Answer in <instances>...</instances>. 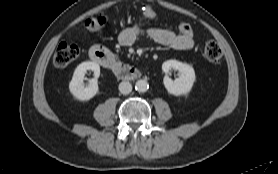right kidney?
Masks as SVG:
<instances>
[{
  "mask_svg": "<svg viewBox=\"0 0 278 174\" xmlns=\"http://www.w3.org/2000/svg\"><path fill=\"white\" fill-rule=\"evenodd\" d=\"M87 70L94 72V78L85 87L83 81ZM100 75V66L91 61L82 62L74 71L72 80L69 83V90L75 98L81 101H87L93 98L98 92L97 78Z\"/></svg>",
  "mask_w": 278,
  "mask_h": 174,
  "instance_id": "obj_1",
  "label": "right kidney"
}]
</instances>
